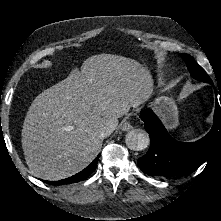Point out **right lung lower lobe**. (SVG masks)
Segmentation results:
<instances>
[{
  "label": "right lung lower lobe",
  "mask_w": 221,
  "mask_h": 221,
  "mask_svg": "<svg viewBox=\"0 0 221 221\" xmlns=\"http://www.w3.org/2000/svg\"><path fill=\"white\" fill-rule=\"evenodd\" d=\"M99 156H100V154L85 169H83L79 173H77L69 178L59 180V181H45V182L49 183V184H54V185H67V184L82 181V180L88 178L94 172V170L97 167V162L99 160Z\"/></svg>",
  "instance_id": "right-lung-lower-lobe-1"
}]
</instances>
